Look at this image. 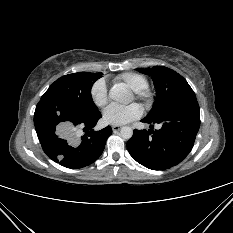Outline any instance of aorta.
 <instances>
[{"label": "aorta", "mask_w": 233, "mask_h": 233, "mask_svg": "<svg viewBox=\"0 0 233 233\" xmlns=\"http://www.w3.org/2000/svg\"><path fill=\"white\" fill-rule=\"evenodd\" d=\"M109 98L124 104L131 102V94L123 83L114 84L109 91ZM120 136L123 139H130L133 136L131 127L124 126L120 130Z\"/></svg>", "instance_id": "aorta-1"}]
</instances>
